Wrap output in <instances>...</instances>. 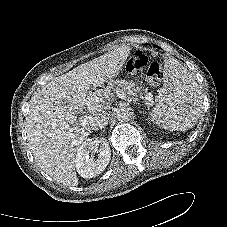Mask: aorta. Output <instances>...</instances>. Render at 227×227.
<instances>
[{
	"label": "aorta",
	"instance_id": "762f6f07",
	"mask_svg": "<svg viewBox=\"0 0 227 227\" xmlns=\"http://www.w3.org/2000/svg\"><path fill=\"white\" fill-rule=\"evenodd\" d=\"M133 113L128 107H119L116 110V118L119 121H129L132 117Z\"/></svg>",
	"mask_w": 227,
	"mask_h": 227
}]
</instances>
